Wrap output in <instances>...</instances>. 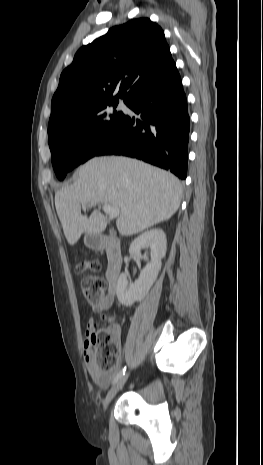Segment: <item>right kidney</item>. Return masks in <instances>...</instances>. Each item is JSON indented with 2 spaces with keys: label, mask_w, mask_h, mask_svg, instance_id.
<instances>
[{
  "label": "right kidney",
  "mask_w": 263,
  "mask_h": 465,
  "mask_svg": "<svg viewBox=\"0 0 263 465\" xmlns=\"http://www.w3.org/2000/svg\"><path fill=\"white\" fill-rule=\"evenodd\" d=\"M147 246L151 249V260L141 271L138 280L129 284L125 273L120 274L118 278L117 298L124 306H131L134 302L144 299L156 281L162 266L161 260L166 254L167 240L163 230L152 229L142 233L131 243L129 252L138 255L140 250Z\"/></svg>",
  "instance_id": "obj_1"
}]
</instances>
